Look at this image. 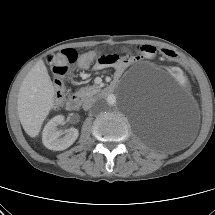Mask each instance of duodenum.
Segmentation results:
<instances>
[{
	"label": "duodenum",
	"mask_w": 215,
	"mask_h": 215,
	"mask_svg": "<svg viewBox=\"0 0 215 215\" xmlns=\"http://www.w3.org/2000/svg\"><path fill=\"white\" fill-rule=\"evenodd\" d=\"M116 86V82L111 83L109 86L106 87L105 92L111 93ZM83 103V97L80 95H73L71 96L66 102V108L69 111H76L78 110Z\"/></svg>",
	"instance_id": "1"
}]
</instances>
